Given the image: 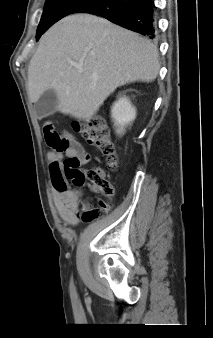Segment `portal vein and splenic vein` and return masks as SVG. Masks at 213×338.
Masks as SVG:
<instances>
[{"instance_id":"1","label":"portal vein and splenic vein","mask_w":213,"mask_h":338,"mask_svg":"<svg viewBox=\"0 0 213 338\" xmlns=\"http://www.w3.org/2000/svg\"><path fill=\"white\" fill-rule=\"evenodd\" d=\"M78 72H83V69L81 67H77Z\"/></svg>"}]
</instances>
